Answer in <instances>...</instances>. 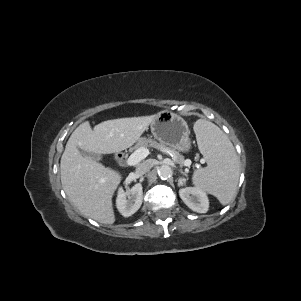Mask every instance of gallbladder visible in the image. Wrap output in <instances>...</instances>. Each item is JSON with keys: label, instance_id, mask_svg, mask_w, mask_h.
I'll use <instances>...</instances> for the list:
<instances>
[{"label": "gallbladder", "instance_id": "1", "mask_svg": "<svg viewBox=\"0 0 301 301\" xmlns=\"http://www.w3.org/2000/svg\"><path fill=\"white\" fill-rule=\"evenodd\" d=\"M79 152H80L81 155L91 157L92 159L97 160V161H99L101 159V157L99 155L87 152V151L82 150L80 148H79Z\"/></svg>", "mask_w": 301, "mask_h": 301}]
</instances>
